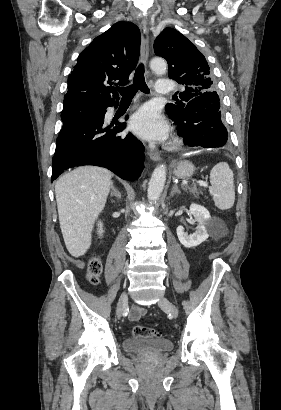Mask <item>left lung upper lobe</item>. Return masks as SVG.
Here are the masks:
<instances>
[{
  "label": "left lung upper lobe",
  "instance_id": "5c2ea615",
  "mask_svg": "<svg viewBox=\"0 0 281 410\" xmlns=\"http://www.w3.org/2000/svg\"><path fill=\"white\" fill-rule=\"evenodd\" d=\"M154 52L168 62V76L183 85L180 100L168 103L165 110L173 121H180L192 99L215 95V82L204 55L184 35L165 28L154 42Z\"/></svg>",
  "mask_w": 281,
  "mask_h": 410
}]
</instances>
